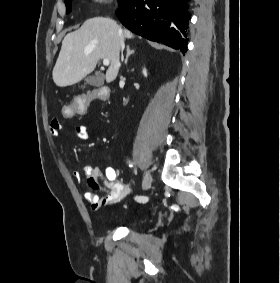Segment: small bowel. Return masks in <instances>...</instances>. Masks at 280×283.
I'll return each mask as SVG.
<instances>
[{
    "label": "small bowel",
    "mask_w": 280,
    "mask_h": 283,
    "mask_svg": "<svg viewBox=\"0 0 280 283\" xmlns=\"http://www.w3.org/2000/svg\"><path fill=\"white\" fill-rule=\"evenodd\" d=\"M62 130L63 127L59 120L55 119L51 122L49 127L51 136H59ZM74 135L80 140L88 139L87 127L85 125L75 126ZM83 171L87 177V185L90 189L85 193V199L90 203L94 211L116 204L131 194L130 186L117 178L113 168L109 167L105 170V179L102 178L101 172L97 167L89 164L84 166ZM72 175L76 180L81 179V172L78 170H74ZM100 191L103 192L102 196L98 195Z\"/></svg>",
    "instance_id": "obj_1"
}]
</instances>
